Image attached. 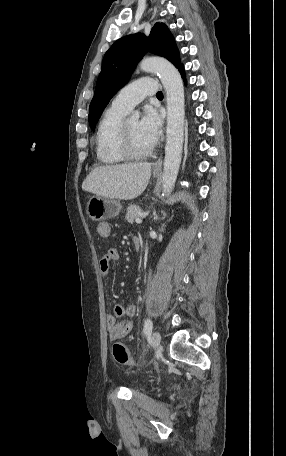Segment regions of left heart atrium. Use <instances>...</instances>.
<instances>
[{"instance_id": "obj_1", "label": "left heart atrium", "mask_w": 286, "mask_h": 456, "mask_svg": "<svg viewBox=\"0 0 286 456\" xmlns=\"http://www.w3.org/2000/svg\"><path fill=\"white\" fill-rule=\"evenodd\" d=\"M139 126L141 132L152 142V144L155 143L160 136L162 129V119L159 112L151 106L145 107Z\"/></svg>"}]
</instances>
